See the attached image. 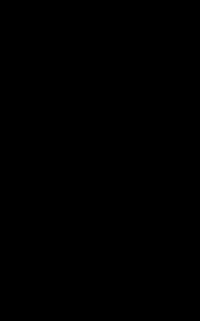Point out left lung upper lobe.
Returning a JSON list of instances; mask_svg holds the SVG:
<instances>
[{
	"mask_svg": "<svg viewBox=\"0 0 200 321\" xmlns=\"http://www.w3.org/2000/svg\"><path fill=\"white\" fill-rule=\"evenodd\" d=\"M100 127L117 136L122 144L125 158L122 183L131 184L151 177L173 183L174 165L170 154L151 132L118 121L106 122Z\"/></svg>",
	"mask_w": 200,
	"mask_h": 321,
	"instance_id": "left-lung-upper-lobe-1",
	"label": "left lung upper lobe"
}]
</instances>
